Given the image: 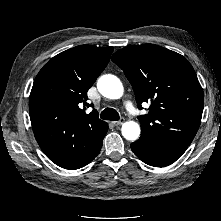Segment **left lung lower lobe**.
<instances>
[{"label":"left lung lower lobe","mask_w":221,"mask_h":221,"mask_svg":"<svg viewBox=\"0 0 221 221\" xmlns=\"http://www.w3.org/2000/svg\"><path fill=\"white\" fill-rule=\"evenodd\" d=\"M131 149L146 164L164 167L182 156L187 147L151 137H140L131 144Z\"/></svg>","instance_id":"left-lung-lower-lobe-1"}]
</instances>
